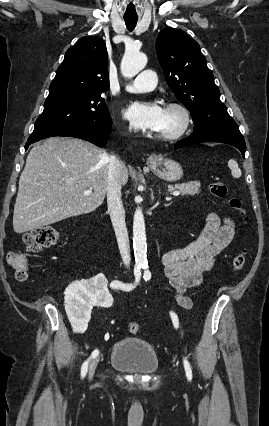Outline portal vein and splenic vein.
Here are the masks:
<instances>
[{
    "mask_svg": "<svg viewBox=\"0 0 269 426\" xmlns=\"http://www.w3.org/2000/svg\"><path fill=\"white\" fill-rule=\"evenodd\" d=\"M83 194L84 195H86V196H89V195H91L92 194V191L91 190H85L84 192H83ZM180 194V192L179 191H173L172 192V195L173 196H178Z\"/></svg>",
    "mask_w": 269,
    "mask_h": 426,
    "instance_id": "18ae733b",
    "label": "portal vein and splenic vein"
}]
</instances>
